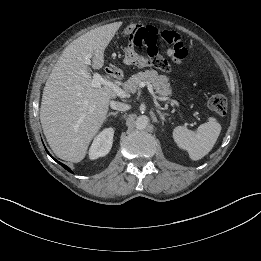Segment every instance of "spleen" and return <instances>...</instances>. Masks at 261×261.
<instances>
[{
	"instance_id": "3e777b00",
	"label": "spleen",
	"mask_w": 261,
	"mask_h": 261,
	"mask_svg": "<svg viewBox=\"0 0 261 261\" xmlns=\"http://www.w3.org/2000/svg\"><path fill=\"white\" fill-rule=\"evenodd\" d=\"M221 131V125L215 118L201 124L196 131L184 126H177L173 130V139L181 149L188 151L192 160H199L206 156L216 143Z\"/></svg>"
}]
</instances>
